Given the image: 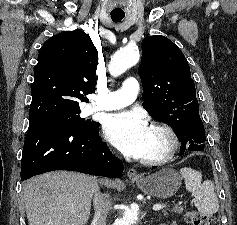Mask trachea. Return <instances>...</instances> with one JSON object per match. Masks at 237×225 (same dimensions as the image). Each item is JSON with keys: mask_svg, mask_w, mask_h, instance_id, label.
Instances as JSON below:
<instances>
[{"mask_svg": "<svg viewBox=\"0 0 237 225\" xmlns=\"http://www.w3.org/2000/svg\"><path fill=\"white\" fill-rule=\"evenodd\" d=\"M124 15L121 14H111V19L114 22H120L123 19Z\"/></svg>", "mask_w": 237, "mask_h": 225, "instance_id": "trachea-1", "label": "trachea"}]
</instances>
